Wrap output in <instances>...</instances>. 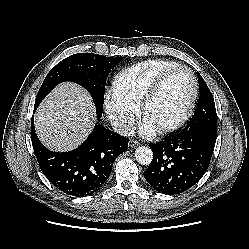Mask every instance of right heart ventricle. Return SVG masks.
Returning a JSON list of instances; mask_svg holds the SVG:
<instances>
[{
    "mask_svg": "<svg viewBox=\"0 0 249 249\" xmlns=\"http://www.w3.org/2000/svg\"><path fill=\"white\" fill-rule=\"evenodd\" d=\"M178 65L168 59H150L120 71L112 82V93L123 103L138 110L139 104L155 79L165 70Z\"/></svg>",
    "mask_w": 249,
    "mask_h": 249,
    "instance_id": "obj_1",
    "label": "right heart ventricle"
}]
</instances>
